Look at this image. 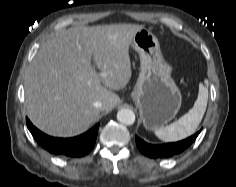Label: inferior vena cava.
Instances as JSON below:
<instances>
[{
	"instance_id": "1",
	"label": "inferior vena cava",
	"mask_w": 236,
	"mask_h": 187,
	"mask_svg": "<svg viewBox=\"0 0 236 187\" xmlns=\"http://www.w3.org/2000/svg\"><path fill=\"white\" fill-rule=\"evenodd\" d=\"M94 106L96 107V108H101L102 107V103L100 102V101H96L95 103H94Z\"/></svg>"
}]
</instances>
